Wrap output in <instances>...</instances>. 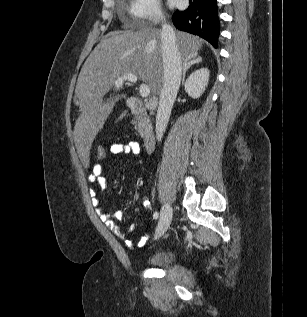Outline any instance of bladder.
I'll return each mask as SVG.
<instances>
[{
    "label": "bladder",
    "mask_w": 307,
    "mask_h": 317,
    "mask_svg": "<svg viewBox=\"0 0 307 317\" xmlns=\"http://www.w3.org/2000/svg\"><path fill=\"white\" fill-rule=\"evenodd\" d=\"M175 254L173 251H159L147 257L144 262L151 267H165L174 261Z\"/></svg>",
    "instance_id": "bladder-1"
}]
</instances>
